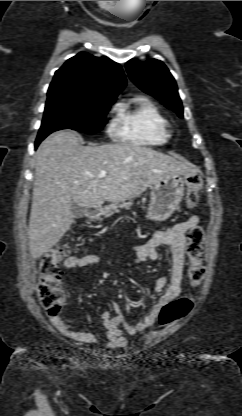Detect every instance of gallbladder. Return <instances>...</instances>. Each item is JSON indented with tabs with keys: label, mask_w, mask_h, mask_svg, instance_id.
<instances>
[{
	"label": "gallbladder",
	"mask_w": 242,
	"mask_h": 416,
	"mask_svg": "<svg viewBox=\"0 0 242 416\" xmlns=\"http://www.w3.org/2000/svg\"><path fill=\"white\" fill-rule=\"evenodd\" d=\"M71 210L74 215V218H81L84 215V208L76 203H72Z\"/></svg>",
	"instance_id": "bac80fb5"
}]
</instances>
